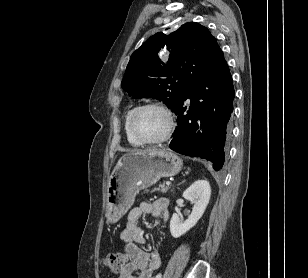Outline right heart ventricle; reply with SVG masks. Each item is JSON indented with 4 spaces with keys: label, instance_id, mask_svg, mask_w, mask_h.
Here are the masks:
<instances>
[{
    "label": "right heart ventricle",
    "instance_id": "1",
    "mask_svg": "<svg viewBox=\"0 0 308 278\" xmlns=\"http://www.w3.org/2000/svg\"><path fill=\"white\" fill-rule=\"evenodd\" d=\"M136 107L130 108L124 118V131H125V135L127 138V141L129 142L130 145L134 146V147H139L142 145V143H140L137 139L134 138V136L131 134L130 129H129V117L132 113V111L135 109Z\"/></svg>",
    "mask_w": 308,
    "mask_h": 278
}]
</instances>
